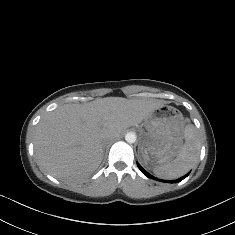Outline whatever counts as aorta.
<instances>
[{
  "label": "aorta",
  "instance_id": "1",
  "mask_svg": "<svg viewBox=\"0 0 235 235\" xmlns=\"http://www.w3.org/2000/svg\"><path fill=\"white\" fill-rule=\"evenodd\" d=\"M125 140L128 143H134L136 141V134L134 132H129L125 135Z\"/></svg>",
  "mask_w": 235,
  "mask_h": 235
}]
</instances>
